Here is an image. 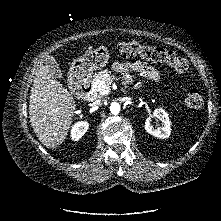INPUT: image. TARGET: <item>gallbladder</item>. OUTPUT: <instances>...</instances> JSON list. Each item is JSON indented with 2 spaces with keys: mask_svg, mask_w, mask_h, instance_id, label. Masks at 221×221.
<instances>
[{
  "mask_svg": "<svg viewBox=\"0 0 221 221\" xmlns=\"http://www.w3.org/2000/svg\"><path fill=\"white\" fill-rule=\"evenodd\" d=\"M45 65L47 69L57 78V79H62L63 74L61 72V69L59 65L57 64L56 60L54 57L49 56L45 59Z\"/></svg>",
  "mask_w": 221,
  "mask_h": 221,
  "instance_id": "bac80fb5",
  "label": "gallbladder"
}]
</instances>
